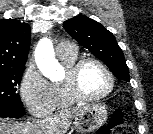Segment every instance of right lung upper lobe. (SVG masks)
<instances>
[{
  "label": "right lung upper lobe",
  "instance_id": "cb5924a9",
  "mask_svg": "<svg viewBox=\"0 0 153 134\" xmlns=\"http://www.w3.org/2000/svg\"><path fill=\"white\" fill-rule=\"evenodd\" d=\"M30 26L15 19L0 20V68H25Z\"/></svg>",
  "mask_w": 153,
  "mask_h": 134
}]
</instances>
